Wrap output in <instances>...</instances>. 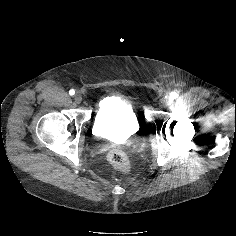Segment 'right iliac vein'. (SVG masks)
<instances>
[{"label": "right iliac vein", "mask_w": 236, "mask_h": 236, "mask_svg": "<svg viewBox=\"0 0 236 236\" xmlns=\"http://www.w3.org/2000/svg\"><path fill=\"white\" fill-rule=\"evenodd\" d=\"M74 100L77 104H80L82 102V95L80 93H76L74 96Z\"/></svg>", "instance_id": "1"}]
</instances>
